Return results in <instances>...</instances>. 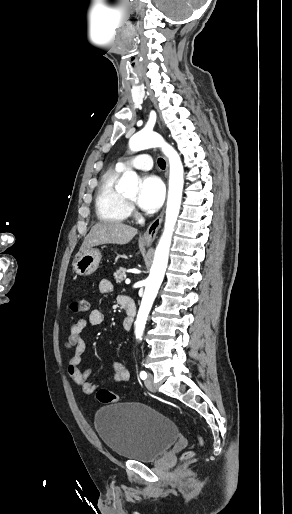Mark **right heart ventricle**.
Returning <instances> with one entry per match:
<instances>
[{
    "label": "right heart ventricle",
    "instance_id": "right-heart-ventricle-1",
    "mask_svg": "<svg viewBox=\"0 0 292 514\" xmlns=\"http://www.w3.org/2000/svg\"><path fill=\"white\" fill-rule=\"evenodd\" d=\"M120 175L119 170L109 169L99 181L95 193V212L100 221L121 222L128 216L129 210L120 196L122 193L115 185Z\"/></svg>",
    "mask_w": 292,
    "mask_h": 514
}]
</instances>
